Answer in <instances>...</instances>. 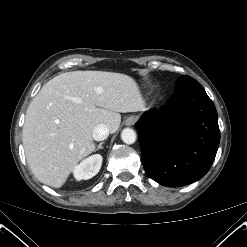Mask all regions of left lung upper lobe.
Listing matches in <instances>:
<instances>
[{"instance_id": "obj_1", "label": "left lung upper lobe", "mask_w": 247, "mask_h": 247, "mask_svg": "<svg viewBox=\"0 0 247 247\" xmlns=\"http://www.w3.org/2000/svg\"><path fill=\"white\" fill-rule=\"evenodd\" d=\"M191 77H189V76H181V77H179V79L177 80V81H185V80H187V79H190Z\"/></svg>"}]
</instances>
